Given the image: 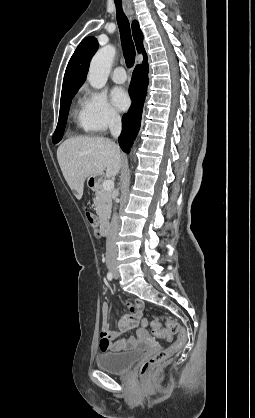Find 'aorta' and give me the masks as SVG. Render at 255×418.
Wrapping results in <instances>:
<instances>
[{
	"label": "aorta",
	"instance_id": "1",
	"mask_svg": "<svg viewBox=\"0 0 255 418\" xmlns=\"http://www.w3.org/2000/svg\"><path fill=\"white\" fill-rule=\"evenodd\" d=\"M115 53V48L107 45L93 56L87 75V80L93 88L101 89L105 86Z\"/></svg>",
	"mask_w": 255,
	"mask_h": 418
}]
</instances>
